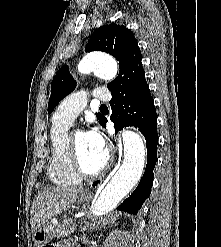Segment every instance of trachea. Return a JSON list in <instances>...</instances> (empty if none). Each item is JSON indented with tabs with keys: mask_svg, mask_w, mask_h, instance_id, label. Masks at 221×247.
Returning <instances> with one entry per match:
<instances>
[{
	"mask_svg": "<svg viewBox=\"0 0 221 247\" xmlns=\"http://www.w3.org/2000/svg\"><path fill=\"white\" fill-rule=\"evenodd\" d=\"M100 109H107V106H106L105 104H102V105L100 106Z\"/></svg>",
	"mask_w": 221,
	"mask_h": 247,
	"instance_id": "3493384b",
	"label": "trachea"
}]
</instances>
